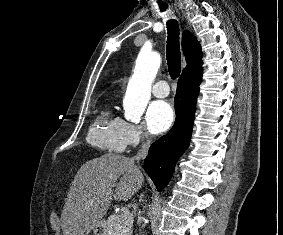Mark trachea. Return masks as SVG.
Returning <instances> with one entry per match:
<instances>
[{
  "instance_id": "obj_1",
  "label": "trachea",
  "mask_w": 283,
  "mask_h": 235,
  "mask_svg": "<svg viewBox=\"0 0 283 235\" xmlns=\"http://www.w3.org/2000/svg\"><path fill=\"white\" fill-rule=\"evenodd\" d=\"M161 11L167 9L165 3H159ZM168 39L166 47L167 65L172 79L177 78L181 72V57L179 44V26L176 20L167 21Z\"/></svg>"
}]
</instances>
